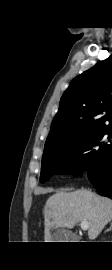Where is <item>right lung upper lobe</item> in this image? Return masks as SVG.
I'll return each instance as SVG.
<instances>
[{"label": "right lung upper lobe", "mask_w": 112, "mask_h": 270, "mask_svg": "<svg viewBox=\"0 0 112 270\" xmlns=\"http://www.w3.org/2000/svg\"><path fill=\"white\" fill-rule=\"evenodd\" d=\"M109 125H112V54L72 80L61 97L45 147L72 141Z\"/></svg>", "instance_id": "1"}]
</instances>
